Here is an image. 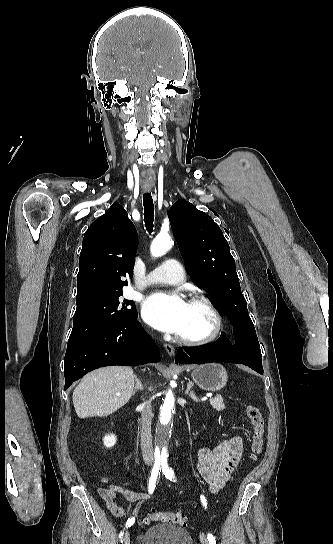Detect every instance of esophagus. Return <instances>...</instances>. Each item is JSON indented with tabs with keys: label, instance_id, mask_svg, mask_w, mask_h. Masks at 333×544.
<instances>
[{
	"label": "esophagus",
	"instance_id": "1",
	"mask_svg": "<svg viewBox=\"0 0 333 544\" xmlns=\"http://www.w3.org/2000/svg\"><path fill=\"white\" fill-rule=\"evenodd\" d=\"M145 191H149V189H145ZM164 348L166 350V352L170 355V356H174L175 355V349L172 345L170 344H164Z\"/></svg>",
	"mask_w": 333,
	"mask_h": 544
}]
</instances>
